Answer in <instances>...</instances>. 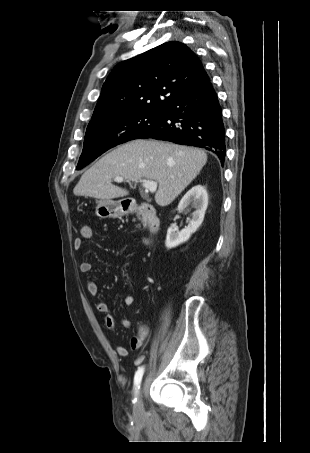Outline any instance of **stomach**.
Masks as SVG:
<instances>
[{"label": "stomach", "instance_id": "obj_1", "mask_svg": "<svg viewBox=\"0 0 310 453\" xmlns=\"http://www.w3.org/2000/svg\"><path fill=\"white\" fill-rule=\"evenodd\" d=\"M124 201L99 200L97 201L96 215L102 219L121 217L129 211Z\"/></svg>", "mask_w": 310, "mask_h": 453}]
</instances>
